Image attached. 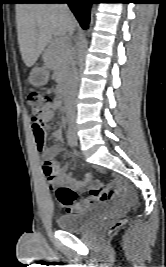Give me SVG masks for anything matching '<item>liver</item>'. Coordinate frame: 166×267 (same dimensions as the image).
<instances>
[{
    "instance_id": "6515ba94",
    "label": "liver",
    "mask_w": 166,
    "mask_h": 267,
    "mask_svg": "<svg viewBox=\"0 0 166 267\" xmlns=\"http://www.w3.org/2000/svg\"><path fill=\"white\" fill-rule=\"evenodd\" d=\"M19 49L27 67L34 65L51 42L76 28V20L58 4L19 3L16 5Z\"/></svg>"
}]
</instances>
